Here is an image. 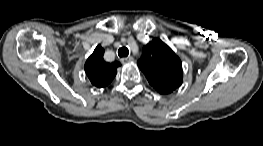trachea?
<instances>
[{
    "label": "trachea",
    "instance_id": "3493384b",
    "mask_svg": "<svg viewBox=\"0 0 263 146\" xmlns=\"http://www.w3.org/2000/svg\"><path fill=\"white\" fill-rule=\"evenodd\" d=\"M129 54V49L127 47H121L118 50L119 57H127Z\"/></svg>",
    "mask_w": 263,
    "mask_h": 146
}]
</instances>
